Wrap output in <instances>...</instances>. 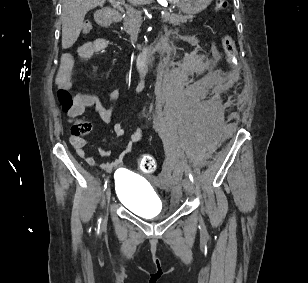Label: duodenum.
I'll use <instances>...</instances> for the list:
<instances>
[{
  "label": "duodenum",
  "instance_id": "410a0bca",
  "mask_svg": "<svg viewBox=\"0 0 308 283\" xmlns=\"http://www.w3.org/2000/svg\"><path fill=\"white\" fill-rule=\"evenodd\" d=\"M122 19V13L118 9H110L103 12L99 17V23L102 25H109L111 23L119 22ZM151 50L144 48L138 57L137 65L139 69H143L146 65L147 59Z\"/></svg>",
  "mask_w": 308,
  "mask_h": 283
}]
</instances>
